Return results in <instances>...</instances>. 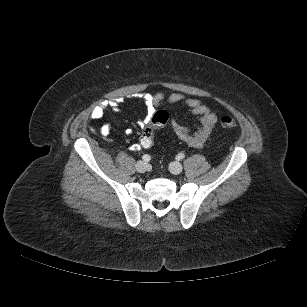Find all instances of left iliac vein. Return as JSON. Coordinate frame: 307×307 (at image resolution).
I'll return each instance as SVG.
<instances>
[{
  "label": "left iliac vein",
  "instance_id": "1",
  "mask_svg": "<svg viewBox=\"0 0 307 307\" xmlns=\"http://www.w3.org/2000/svg\"><path fill=\"white\" fill-rule=\"evenodd\" d=\"M169 170L172 174L179 175L183 171V167L179 162L175 161L170 163Z\"/></svg>",
  "mask_w": 307,
  "mask_h": 307
}]
</instances>
